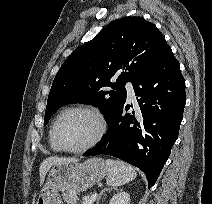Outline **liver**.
I'll use <instances>...</instances> for the list:
<instances>
[{
  "label": "liver",
  "instance_id": "6515ba94",
  "mask_svg": "<svg viewBox=\"0 0 212 204\" xmlns=\"http://www.w3.org/2000/svg\"><path fill=\"white\" fill-rule=\"evenodd\" d=\"M73 161L70 158H60V157H48L42 161L40 164L39 172H40V185L43 184L45 180L46 173L50 170V168L58 163H65Z\"/></svg>",
  "mask_w": 212,
  "mask_h": 204
}]
</instances>
